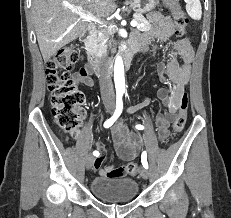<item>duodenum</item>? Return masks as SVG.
I'll return each mask as SVG.
<instances>
[{"label":"duodenum","instance_id":"duodenum-1","mask_svg":"<svg viewBox=\"0 0 231 218\" xmlns=\"http://www.w3.org/2000/svg\"><path fill=\"white\" fill-rule=\"evenodd\" d=\"M95 30V26L93 24H89L85 32L81 35V40L88 41L95 33ZM135 52L136 50L130 47L123 53V59L126 65H130L135 55ZM88 65L90 69L97 75H104L106 73V65L103 60L97 55H93L90 58Z\"/></svg>","mask_w":231,"mask_h":218}]
</instances>
